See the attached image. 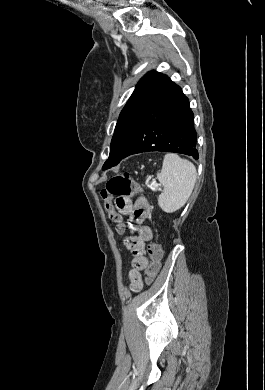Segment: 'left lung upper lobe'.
<instances>
[{
	"label": "left lung upper lobe",
	"mask_w": 265,
	"mask_h": 390,
	"mask_svg": "<svg viewBox=\"0 0 265 390\" xmlns=\"http://www.w3.org/2000/svg\"><path fill=\"white\" fill-rule=\"evenodd\" d=\"M167 78L166 75L151 71L138 82L120 113L110 145V155L102 167L103 170L111 168L121 161L134 137L143 109Z\"/></svg>",
	"instance_id": "obj_1"
}]
</instances>
